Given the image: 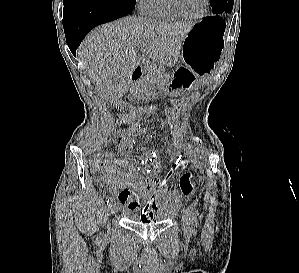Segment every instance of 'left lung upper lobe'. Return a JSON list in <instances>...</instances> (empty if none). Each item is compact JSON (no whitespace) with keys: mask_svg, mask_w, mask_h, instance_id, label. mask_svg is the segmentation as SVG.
Masks as SVG:
<instances>
[{"mask_svg":"<svg viewBox=\"0 0 299 273\" xmlns=\"http://www.w3.org/2000/svg\"><path fill=\"white\" fill-rule=\"evenodd\" d=\"M234 0H210L212 12L215 14L225 13L231 11L233 8Z\"/></svg>","mask_w":299,"mask_h":273,"instance_id":"obj_1","label":"left lung upper lobe"}]
</instances>
